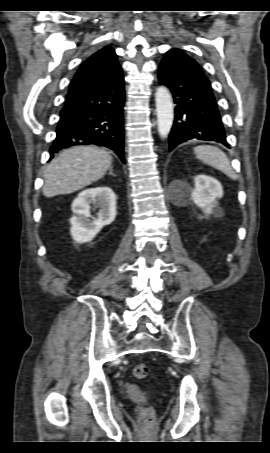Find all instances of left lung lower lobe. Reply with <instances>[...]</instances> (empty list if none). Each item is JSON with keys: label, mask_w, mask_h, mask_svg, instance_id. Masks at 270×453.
<instances>
[{"label": "left lung lower lobe", "mask_w": 270, "mask_h": 453, "mask_svg": "<svg viewBox=\"0 0 270 453\" xmlns=\"http://www.w3.org/2000/svg\"><path fill=\"white\" fill-rule=\"evenodd\" d=\"M159 82L173 93L175 120L168 151L191 139L216 141L230 148L211 84L186 54H166L159 67Z\"/></svg>", "instance_id": "obj_1"}]
</instances>
